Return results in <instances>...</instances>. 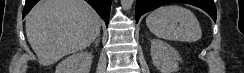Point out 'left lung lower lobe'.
<instances>
[{
  "label": "left lung lower lobe",
  "mask_w": 244,
  "mask_h": 73,
  "mask_svg": "<svg viewBox=\"0 0 244 73\" xmlns=\"http://www.w3.org/2000/svg\"><path fill=\"white\" fill-rule=\"evenodd\" d=\"M167 3H187L194 5L203 9L216 21V7L213 0H137L135 9L136 22L139 21V18L143 14Z\"/></svg>",
  "instance_id": "left-lung-lower-lobe-1"
}]
</instances>
